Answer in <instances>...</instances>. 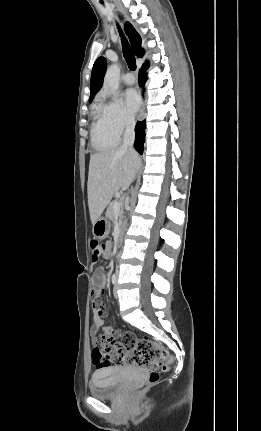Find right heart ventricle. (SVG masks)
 I'll return each mask as SVG.
<instances>
[{"label":"right heart ventricle","mask_w":261,"mask_h":431,"mask_svg":"<svg viewBox=\"0 0 261 431\" xmlns=\"http://www.w3.org/2000/svg\"><path fill=\"white\" fill-rule=\"evenodd\" d=\"M91 137L93 146L100 151L111 150L119 144V135L109 128L99 105L93 108Z\"/></svg>","instance_id":"e07e8e85"}]
</instances>
